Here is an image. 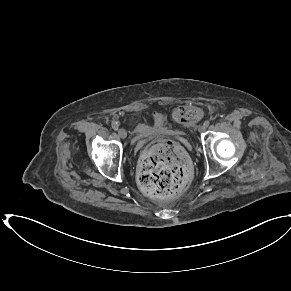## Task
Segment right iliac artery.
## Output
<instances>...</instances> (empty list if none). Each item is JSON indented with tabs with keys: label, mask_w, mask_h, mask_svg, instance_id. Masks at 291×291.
Returning a JSON list of instances; mask_svg holds the SVG:
<instances>
[{
	"label": "right iliac artery",
	"mask_w": 291,
	"mask_h": 291,
	"mask_svg": "<svg viewBox=\"0 0 291 291\" xmlns=\"http://www.w3.org/2000/svg\"><path fill=\"white\" fill-rule=\"evenodd\" d=\"M112 128H113L114 130H118V128H119V124H118V122H113V123H112Z\"/></svg>",
	"instance_id": "1"
}]
</instances>
